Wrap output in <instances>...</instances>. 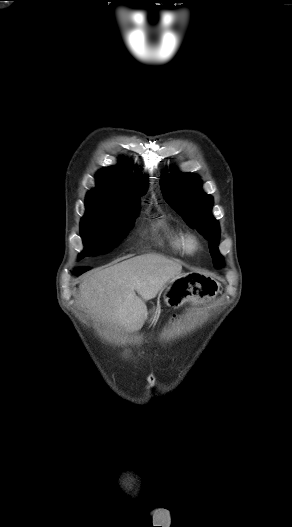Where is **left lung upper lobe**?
Segmentation results:
<instances>
[{"label": "left lung upper lobe", "mask_w": 292, "mask_h": 527, "mask_svg": "<svg viewBox=\"0 0 292 527\" xmlns=\"http://www.w3.org/2000/svg\"><path fill=\"white\" fill-rule=\"evenodd\" d=\"M161 190L166 202L210 241L214 265L220 266L222 257L217 247L219 224L211 214L213 199L202 191L198 176L182 173L167 176L161 181Z\"/></svg>", "instance_id": "obj_1"}]
</instances>
